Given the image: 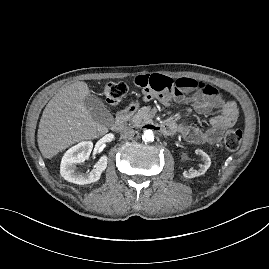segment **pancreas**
Segmentation results:
<instances>
[{
    "label": "pancreas",
    "mask_w": 269,
    "mask_h": 269,
    "mask_svg": "<svg viewBox=\"0 0 269 269\" xmlns=\"http://www.w3.org/2000/svg\"><path fill=\"white\" fill-rule=\"evenodd\" d=\"M151 118V110L148 107H142L138 112L128 119L129 125L132 127H141L149 122Z\"/></svg>",
    "instance_id": "1"
}]
</instances>
